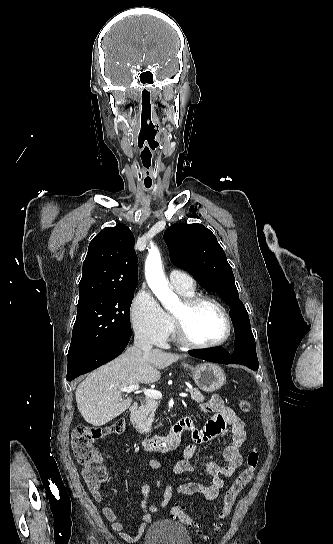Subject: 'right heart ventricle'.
Here are the masks:
<instances>
[{"label": "right heart ventricle", "mask_w": 333, "mask_h": 544, "mask_svg": "<svg viewBox=\"0 0 333 544\" xmlns=\"http://www.w3.org/2000/svg\"><path fill=\"white\" fill-rule=\"evenodd\" d=\"M177 292L182 295L184 298L186 297H190V296H193L194 295V289L192 290H188V291H182V290H177ZM172 332L174 331V323H173V320H172Z\"/></svg>", "instance_id": "obj_1"}]
</instances>
